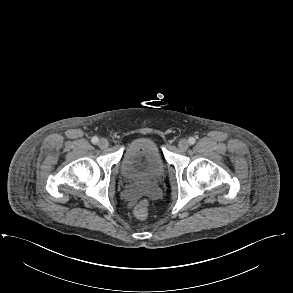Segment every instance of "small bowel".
Listing matches in <instances>:
<instances>
[{
	"mask_svg": "<svg viewBox=\"0 0 293 293\" xmlns=\"http://www.w3.org/2000/svg\"><path fill=\"white\" fill-rule=\"evenodd\" d=\"M126 195L129 197V199H131L132 195H133V192L131 191H127L126 192Z\"/></svg>",
	"mask_w": 293,
	"mask_h": 293,
	"instance_id": "small-bowel-1",
	"label": "small bowel"
}]
</instances>
